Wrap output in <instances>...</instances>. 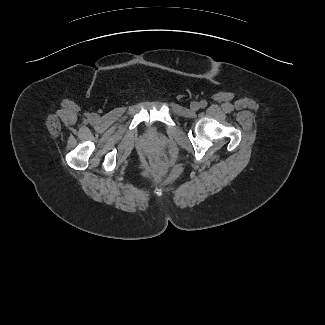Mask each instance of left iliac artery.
I'll return each instance as SVG.
<instances>
[{"mask_svg": "<svg viewBox=\"0 0 325 325\" xmlns=\"http://www.w3.org/2000/svg\"><path fill=\"white\" fill-rule=\"evenodd\" d=\"M200 106H201L202 108H205V107L207 106V102H206L205 100L201 101V102H200Z\"/></svg>", "mask_w": 325, "mask_h": 325, "instance_id": "left-iliac-artery-1", "label": "left iliac artery"}]
</instances>
